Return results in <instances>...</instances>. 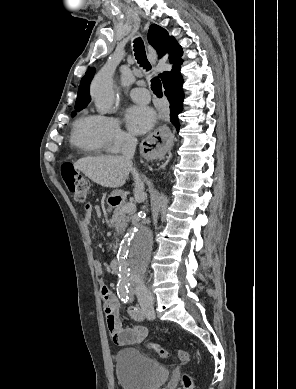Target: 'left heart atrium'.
I'll list each match as a JSON object with an SVG mask.
<instances>
[{"instance_id":"39dd6f15","label":"left heart atrium","mask_w":296,"mask_h":389,"mask_svg":"<svg viewBox=\"0 0 296 389\" xmlns=\"http://www.w3.org/2000/svg\"><path fill=\"white\" fill-rule=\"evenodd\" d=\"M126 122L129 129L136 134L148 132L155 124V112L143 105H133L126 110Z\"/></svg>"}]
</instances>
